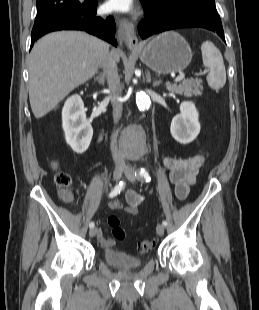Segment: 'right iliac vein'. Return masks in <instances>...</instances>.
Returning a JSON list of instances; mask_svg holds the SVG:
<instances>
[{"label":"right iliac vein","mask_w":259,"mask_h":310,"mask_svg":"<svg viewBox=\"0 0 259 310\" xmlns=\"http://www.w3.org/2000/svg\"><path fill=\"white\" fill-rule=\"evenodd\" d=\"M125 169H126V166L123 164L116 165L114 172H113L114 180H116V181L119 180L121 178L123 172L125 171ZM96 234H97V228L96 227L91 228L89 231L90 237H95Z\"/></svg>","instance_id":"1"}]
</instances>
